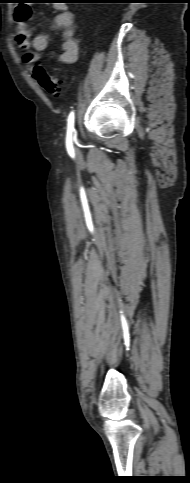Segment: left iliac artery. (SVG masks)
<instances>
[{
	"instance_id": "left-iliac-artery-1",
	"label": "left iliac artery",
	"mask_w": 190,
	"mask_h": 483,
	"mask_svg": "<svg viewBox=\"0 0 190 483\" xmlns=\"http://www.w3.org/2000/svg\"><path fill=\"white\" fill-rule=\"evenodd\" d=\"M74 131V112H70L67 124V138H70Z\"/></svg>"
}]
</instances>
